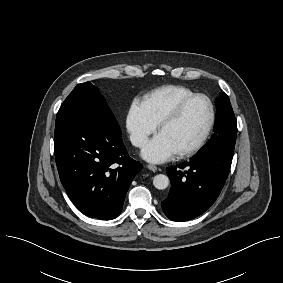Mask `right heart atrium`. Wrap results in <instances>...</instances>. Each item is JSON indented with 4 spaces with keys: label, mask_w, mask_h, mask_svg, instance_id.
Returning a JSON list of instances; mask_svg holds the SVG:
<instances>
[{
    "label": "right heart atrium",
    "mask_w": 283,
    "mask_h": 283,
    "mask_svg": "<svg viewBox=\"0 0 283 283\" xmlns=\"http://www.w3.org/2000/svg\"><path fill=\"white\" fill-rule=\"evenodd\" d=\"M126 127L132 144L142 147L157 130L158 124L149 117L144 104L135 99L128 109Z\"/></svg>",
    "instance_id": "1"
}]
</instances>
